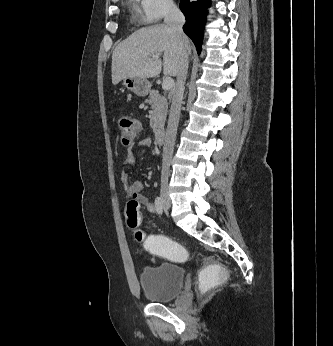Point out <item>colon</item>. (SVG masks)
Segmentation results:
<instances>
[{"instance_id":"5ec220e1","label":"colon","mask_w":333,"mask_h":346,"mask_svg":"<svg viewBox=\"0 0 333 346\" xmlns=\"http://www.w3.org/2000/svg\"><path fill=\"white\" fill-rule=\"evenodd\" d=\"M119 132L123 145H130L136 139L139 133L138 121L130 115H122L119 119ZM125 221L128 227L135 230V238L139 242H143L145 251L148 256H163L164 260H171L173 264H178L180 260H186L185 245L180 244L178 240H174V235L168 233H154V235H145L139 229L140 212L136 200L128 201L125 211ZM212 264H206L205 269H200V288L202 294H207L208 288H217L219 283H225L229 270L224 269L221 257H212Z\"/></svg>"}]
</instances>
